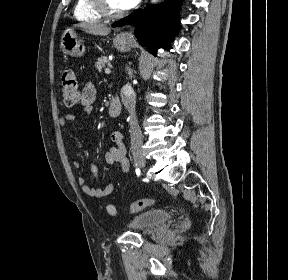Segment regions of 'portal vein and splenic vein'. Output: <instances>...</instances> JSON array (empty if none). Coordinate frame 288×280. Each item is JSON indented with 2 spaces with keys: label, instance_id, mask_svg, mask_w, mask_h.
<instances>
[{
  "label": "portal vein and splenic vein",
  "instance_id": "obj_1",
  "mask_svg": "<svg viewBox=\"0 0 288 280\" xmlns=\"http://www.w3.org/2000/svg\"><path fill=\"white\" fill-rule=\"evenodd\" d=\"M105 73H106V74H110V73H111V70H110L109 68H106V69H105Z\"/></svg>",
  "mask_w": 288,
  "mask_h": 280
}]
</instances>
